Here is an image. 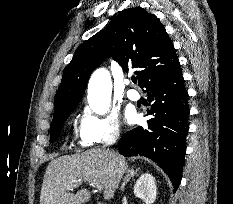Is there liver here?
Returning a JSON list of instances; mask_svg holds the SVG:
<instances>
[{"label":"liver","instance_id":"obj_1","mask_svg":"<svg viewBox=\"0 0 233 204\" xmlns=\"http://www.w3.org/2000/svg\"><path fill=\"white\" fill-rule=\"evenodd\" d=\"M125 158L114 151L90 149L81 154L64 155L53 159L44 175L40 204H85L91 198L88 189L76 194L69 190L79 182L103 186L104 199L110 200L127 170Z\"/></svg>","mask_w":233,"mask_h":204}]
</instances>
